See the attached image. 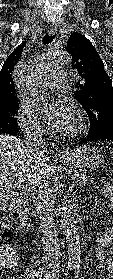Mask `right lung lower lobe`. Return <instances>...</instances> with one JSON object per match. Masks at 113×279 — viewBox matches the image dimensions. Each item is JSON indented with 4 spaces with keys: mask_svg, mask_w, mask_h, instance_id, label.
Instances as JSON below:
<instances>
[{
    "mask_svg": "<svg viewBox=\"0 0 113 279\" xmlns=\"http://www.w3.org/2000/svg\"><path fill=\"white\" fill-rule=\"evenodd\" d=\"M18 133H19V131L11 132V133H9V134H11V135H17Z\"/></svg>",
    "mask_w": 113,
    "mask_h": 279,
    "instance_id": "obj_1",
    "label": "right lung lower lobe"
}]
</instances>
